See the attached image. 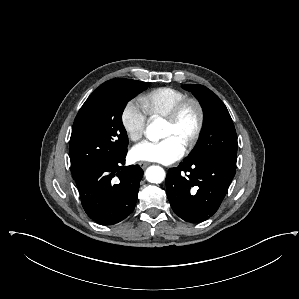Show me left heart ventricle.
Instances as JSON below:
<instances>
[{
	"label": "left heart ventricle",
	"mask_w": 299,
	"mask_h": 299,
	"mask_svg": "<svg viewBox=\"0 0 299 299\" xmlns=\"http://www.w3.org/2000/svg\"><path fill=\"white\" fill-rule=\"evenodd\" d=\"M198 120V113L194 106H189L183 113L177 124H170L167 121L164 124L162 138L173 137L183 146L194 134Z\"/></svg>",
	"instance_id": "left-heart-ventricle-1"
}]
</instances>
